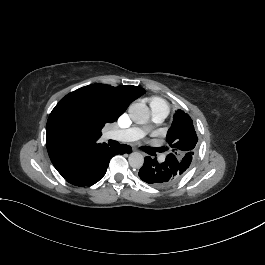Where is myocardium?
Masks as SVG:
<instances>
[{"mask_svg": "<svg viewBox=\"0 0 265 265\" xmlns=\"http://www.w3.org/2000/svg\"><path fill=\"white\" fill-rule=\"evenodd\" d=\"M155 105H158L157 103H154L152 106L149 107V110H150V113L152 114V107L155 106ZM153 115V114H152ZM154 116V115H153Z\"/></svg>", "mask_w": 265, "mask_h": 265, "instance_id": "myocardium-1", "label": "myocardium"}]
</instances>
